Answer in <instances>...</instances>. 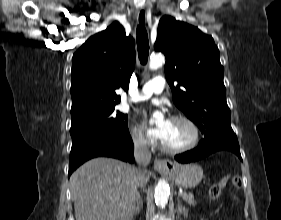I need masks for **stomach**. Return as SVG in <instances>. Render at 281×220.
Wrapping results in <instances>:
<instances>
[{
    "instance_id": "stomach-1",
    "label": "stomach",
    "mask_w": 281,
    "mask_h": 220,
    "mask_svg": "<svg viewBox=\"0 0 281 220\" xmlns=\"http://www.w3.org/2000/svg\"><path fill=\"white\" fill-rule=\"evenodd\" d=\"M167 174L178 186L187 189L197 186L204 177L202 168L194 163L173 164Z\"/></svg>"
}]
</instances>
